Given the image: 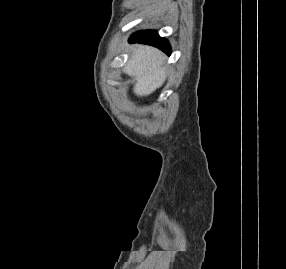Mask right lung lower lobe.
I'll return each instance as SVG.
<instances>
[{"mask_svg":"<svg viewBox=\"0 0 286 269\" xmlns=\"http://www.w3.org/2000/svg\"><path fill=\"white\" fill-rule=\"evenodd\" d=\"M130 42H138L149 44L155 47H158L168 55L171 53L170 45L168 41L158 35L157 32L152 30L141 31L135 33L131 38Z\"/></svg>","mask_w":286,"mask_h":269,"instance_id":"right-lung-lower-lobe-1","label":"right lung lower lobe"}]
</instances>
